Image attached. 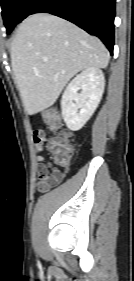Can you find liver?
Wrapping results in <instances>:
<instances>
[{"mask_svg":"<svg viewBox=\"0 0 134 281\" xmlns=\"http://www.w3.org/2000/svg\"><path fill=\"white\" fill-rule=\"evenodd\" d=\"M10 56L29 115L52 106L79 71L106 68L110 58L97 37L47 13L30 15L20 24L11 43Z\"/></svg>","mask_w":134,"mask_h":281,"instance_id":"obj_1","label":"liver"}]
</instances>
